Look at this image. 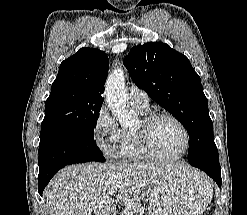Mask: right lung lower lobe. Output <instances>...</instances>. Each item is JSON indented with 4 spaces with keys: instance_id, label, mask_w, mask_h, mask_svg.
Wrapping results in <instances>:
<instances>
[{
    "instance_id": "obj_1",
    "label": "right lung lower lobe",
    "mask_w": 247,
    "mask_h": 215,
    "mask_svg": "<svg viewBox=\"0 0 247 215\" xmlns=\"http://www.w3.org/2000/svg\"><path fill=\"white\" fill-rule=\"evenodd\" d=\"M38 192L42 196L45 186L54 174L64 166L89 161L104 162L95 141L74 133L58 132L40 140Z\"/></svg>"
}]
</instances>
